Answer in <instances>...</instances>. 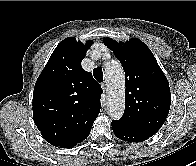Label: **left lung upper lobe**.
I'll return each instance as SVG.
<instances>
[{"label":"left lung upper lobe","instance_id":"left-lung-upper-lobe-1","mask_svg":"<svg viewBox=\"0 0 196 166\" xmlns=\"http://www.w3.org/2000/svg\"><path fill=\"white\" fill-rule=\"evenodd\" d=\"M104 44L120 60L126 81L125 112L116 122L138 134L151 137L165 122L171 104L169 83L151 50L139 39Z\"/></svg>","mask_w":196,"mask_h":166}]
</instances>
